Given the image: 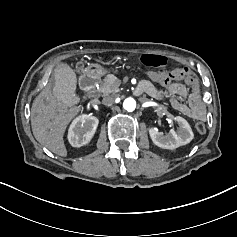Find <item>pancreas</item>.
<instances>
[{
	"instance_id": "cf45deb5",
	"label": "pancreas",
	"mask_w": 237,
	"mask_h": 237,
	"mask_svg": "<svg viewBox=\"0 0 237 237\" xmlns=\"http://www.w3.org/2000/svg\"><path fill=\"white\" fill-rule=\"evenodd\" d=\"M122 82L119 79L112 75L108 74L105 79L101 82L99 92L105 94H114L119 90Z\"/></svg>"
}]
</instances>
